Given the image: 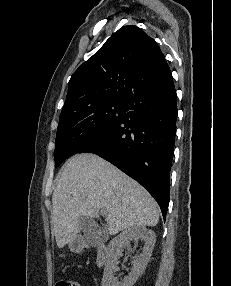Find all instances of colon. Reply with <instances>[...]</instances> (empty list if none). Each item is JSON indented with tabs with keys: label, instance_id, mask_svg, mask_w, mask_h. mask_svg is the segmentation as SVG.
<instances>
[{
	"label": "colon",
	"instance_id": "obj_1",
	"mask_svg": "<svg viewBox=\"0 0 231 286\" xmlns=\"http://www.w3.org/2000/svg\"><path fill=\"white\" fill-rule=\"evenodd\" d=\"M56 286H80L78 282L73 280H64L56 284Z\"/></svg>",
	"mask_w": 231,
	"mask_h": 286
}]
</instances>
